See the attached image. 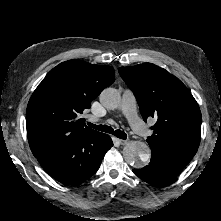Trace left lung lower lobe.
<instances>
[{"label": "left lung lower lobe", "instance_id": "1", "mask_svg": "<svg viewBox=\"0 0 221 221\" xmlns=\"http://www.w3.org/2000/svg\"><path fill=\"white\" fill-rule=\"evenodd\" d=\"M182 170L183 168L180 166L159 156L151 155L150 163L147 166L134 169L133 172L149 184L163 185L176 178Z\"/></svg>", "mask_w": 221, "mask_h": 221}]
</instances>
